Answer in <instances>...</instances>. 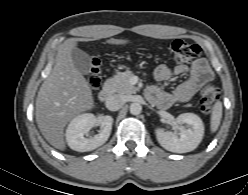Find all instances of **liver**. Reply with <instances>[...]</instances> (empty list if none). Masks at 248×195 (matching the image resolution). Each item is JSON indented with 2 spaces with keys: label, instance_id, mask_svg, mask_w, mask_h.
<instances>
[{
  "label": "liver",
  "instance_id": "6515ba94",
  "mask_svg": "<svg viewBox=\"0 0 248 195\" xmlns=\"http://www.w3.org/2000/svg\"><path fill=\"white\" fill-rule=\"evenodd\" d=\"M108 44L123 45L126 39L107 40ZM76 39H67L59 48L55 64L48 78L42 83L36 98L35 115L44 138L55 148H66L64 128L76 115L93 106L90 86L74 65L71 51Z\"/></svg>",
  "mask_w": 248,
  "mask_h": 195
}]
</instances>
